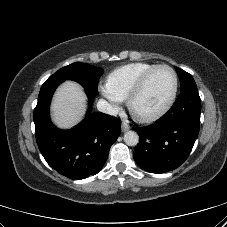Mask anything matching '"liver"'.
Segmentation results:
<instances>
[{
	"label": "liver",
	"instance_id": "obj_1",
	"mask_svg": "<svg viewBox=\"0 0 227 227\" xmlns=\"http://www.w3.org/2000/svg\"><path fill=\"white\" fill-rule=\"evenodd\" d=\"M86 109V96L76 82L65 81L57 89L52 105L53 122L60 128H71L83 117Z\"/></svg>",
	"mask_w": 227,
	"mask_h": 227
}]
</instances>
